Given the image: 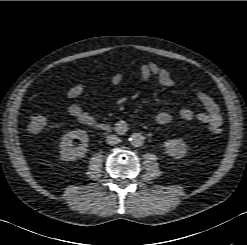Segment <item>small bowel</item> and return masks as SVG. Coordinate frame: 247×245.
<instances>
[{
  "label": "small bowel",
  "instance_id": "1",
  "mask_svg": "<svg viewBox=\"0 0 247 245\" xmlns=\"http://www.w3.org/2000/svg\"><path fill=\"white\" fill-rule=\"evenodd\" d=\"M140 76L143 80L148 81L155 78L157 82L163 87H172L174 81L168 70L161 68L157 63H143L140 66ZM123 80V74L118 72L109 78L111 85H119ZM85 91L84 84H77L71 87L67 92L69 99H75L81 96ZM198 100L203 106V111H196L191 108H182L179 111V116L185 121L197 120L201 123L207 124L212 128L220 127L222 125V116L220 108L215 99L203 91L195 92ZM67 112L70 116L75 118L79 123L92 126L96 119L93 115L85 111L79 104L71 103L67 107ZM172 116L165 111L159 112L155 120L159 125H166L170 123Z\"/></svg>",
  "mask_w": 247,
  "mask_h": 245
}]
</instances>
